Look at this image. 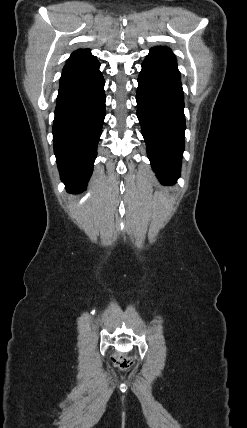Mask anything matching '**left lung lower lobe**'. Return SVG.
<instances>
[{
  "label": "left lung lower lobe",
  "instance_id": "1",
  "mask_svg": "<svg viewBox=\"0 0 247 428\" xmlns=\"http://www.w3.org/2000/svg\"><path fill=\"white\" fill-rule=\"evenodd\" d=\"M136 101L151 166L162 184H174L180 176L186 124L180 72L171 50L150 49L138 77Z\"/></svg>",
  "mask_w": 247,
  "mask_h": 428
}]
</instances>
